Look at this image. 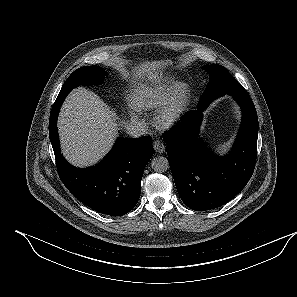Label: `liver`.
I'll return each instance as SVG.
<instances>
[{"label": "liver", "instance_id": "obj_1", "mask_svg": "<svg viewBox=\"0 0 297 297\" xmlns=\"http://www.w3.org/2000/svg\"><path fill=\"white\" fill-rule=\"evenodd\" d=\"M162 62H146L136 67V74L155 80ZM124 123V122H123ZM58 130L64 157L73 165L86 167L99 161L111 148L118 134L113 111L93 92L73 90L62 105Z\"/></svg>", "mask_w": 297, "mask_h": 297}]
</instances>
